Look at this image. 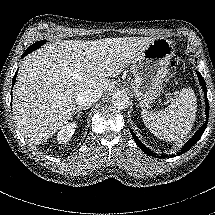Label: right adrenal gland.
I'll list each match as a JSON object with an SVG mask.
<instances>
[{
	"instance_id": "right-adrenal-gland-1",
	"label": "right adrenal gland",
	"mask_w": 215,
	"mask_h": 215,
	"mask_svg": "<svg viewBox=\"0 0 215 215\" xmlns=\"http://www.w3.org/2000/svg\"><path fill=\"white\" fill-rule=\"evenodd\" d=\"M82 111H83L82 108H78V109L76 110L75 114H76V119H77V120H79V117L81 116Z\"/></svg>"
}]
</instances>
